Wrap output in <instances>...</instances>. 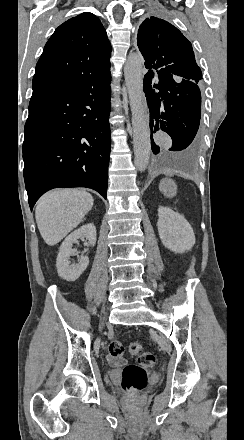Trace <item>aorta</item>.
Masks as SVG:
<instances>
[{"mask_svg":"<svg viewBox=\"0 0 244 440\" xmlns=\"http://www.w3.org/2000/svg\"><path fill=\"white\" fill-rule=\"evenodd\" d=\"M142 64V55L131 53L124 66L132 113L134 163L141 172L147 168L151 153L150 133L144 111Z\"/></svg>","mask_w":244,"mask_h":440,"instance_id":"aorta-1","label":"aorta"}]
</instances>
